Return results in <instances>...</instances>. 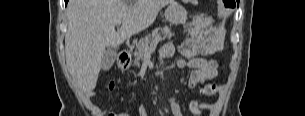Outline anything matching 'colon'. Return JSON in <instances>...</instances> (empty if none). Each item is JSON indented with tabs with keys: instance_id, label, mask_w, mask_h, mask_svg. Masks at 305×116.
I'll return each instance as SVG.
<instances>
[{
	"instance_id": "colon-1",
	"label": "colon",
	"mask_w": 305,
	"mask_h": 116,
	"mask_svg": "<svg viewBox=\"0 0 305 116\" xmlns=\"http://www.w3.org/2000/svg\"><path fill=\"white\" fill-rule=\"evenodd\" d=\"M218 3L222 11H229L232 8V5L228 0H219ZM109 87L111 89L114 87V83L112 81L109 83ZM107 116H132V114L130 112L123 111V112H111Z\"/></svg>"
}]
</instances>
